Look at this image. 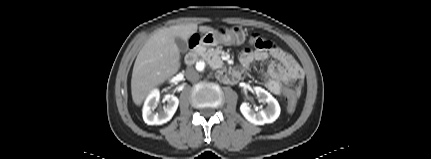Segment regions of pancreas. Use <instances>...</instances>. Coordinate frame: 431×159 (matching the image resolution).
Instances as JSON below:
<instances>
[{
  "label": "pancreas",
  "instance_id": "pancreas-1",
  "mask_svg": "<svg viewBox=\"0 0 431 159\" xmlns=\"http://www.w3.org/2000/svg\"><path fill=\"white\" fill-rule=\"evenodd\" d=\"M221 52V47H217L216 49L209 48L202 50L199 54L211 67L219 68L222 65V60L220 58Z\"/></svg>",
  "mask_w": 431,
  "mask_h": 159
}]
</instances>
